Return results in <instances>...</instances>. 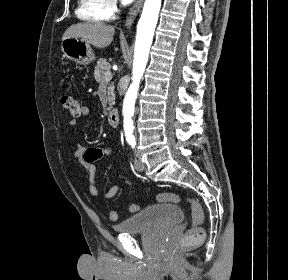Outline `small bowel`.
I'll return each instance as SVG.
<instances>
[{
    "instance_id": "1",
    "label": "small bowel",
    "mask_w": 288,
    "mask_h": 280,
    "mask_svg": "<svg viewBox=\"0 0 288 280\" xmlns=\"http://www.w3.org/2000/svg\"><path fill=\"white\" fill-rule=\"evenodd\" d=\"M90 114V110L88 107H82V116H87ZM70 127H75L77 125V121L75 119H71L68 122ZM111 149H103V148H86L83 146H78L76 151L74 152V156L80 160L86 171V178L89 182V191L92 196L95 197H103L106 199L113 198L120 191V185L116 184L111 186L107 191H101L95 185V162L105 156L112 155Z\"/></svg>"
}]
</instances>
